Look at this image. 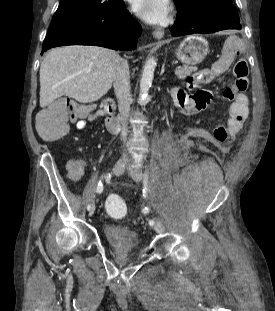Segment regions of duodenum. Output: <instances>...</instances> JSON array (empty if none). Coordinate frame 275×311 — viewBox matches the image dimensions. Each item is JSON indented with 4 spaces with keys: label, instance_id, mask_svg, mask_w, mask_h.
<instances>
[{
    "label": "duodenum",
    "instance_id": "obj_1",
    "mask_svg": "<svg viewBox=\"0 0 275 311\" xmlns=\"http://www.w3.org/2000/svg\"><path fill=\"white\" fill-rule=\"evenodd\" d=\"M105 113V125L109 132L117 133L119 131L120 122L116 115V105L113 100L107 99L103 103Z\"/></svg>",
    "mask_w": 275,
    "mask_h": 311
}]
</instances>
